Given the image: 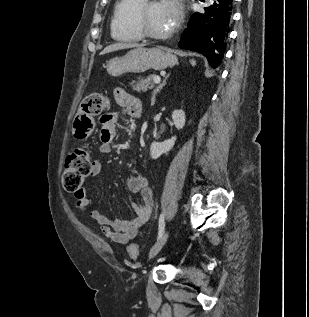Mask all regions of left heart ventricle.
Returning a JSON list of instances; mask_svg holds the SVG:
<instances>
[{
	"label": "left heart ventricle",
	"instance_id": "obj_1",
	"mask_svg": "<svg viewBox=\"0 0 309 317\" xmlns=\"http://www.w3.org/2000/svg\"><path fill=\"white\" fill-rule=\"evenodd\" d=\"M148 28L157 34H163L171 30L175 23L163 2L152 3L146 14Z\"/></svg>",
	"mask_w": 309,
	"mask_h": 317
}]
</instances>
